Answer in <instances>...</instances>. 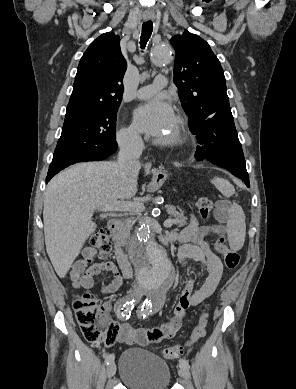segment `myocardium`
<instances>
[{
    "instance_id": "1",
    "label": "myocardium",
    "mask_w": 296,
    "mask_h": 389,
    "mask_svg": "<svg viewBox=\"0 0 296 389\" xmlns=\"http://www.w3.org/2000/svg\"><path fill=\"white\" fill-rule=\"evenodd\" d=\"M183 120L181 117L174 118L173 129L167 136L159 138L157 141L162 145H175L183 139Z\"/></svg>"
}]
</instances>
